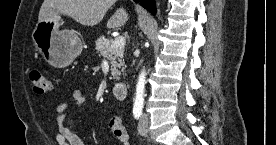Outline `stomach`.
<instances>
[{
  "label": "stomach",
  "mask_w": 276,
  "mask_h": 145,
  "mask_svg": "<svg viewBox=\"0 0 276 145\" xmlns=\"http://www.w3.org/2000/svg\"><path fill=\"white\" fill-rule=\"evenodd\" d=\"M61 17L57 15L38 21L32 32V40L52 66L65 68L82 52V41L71 29L60 30Z\"/></svg>",
  "instance_id": "0dacf381"
}]
</instances>
